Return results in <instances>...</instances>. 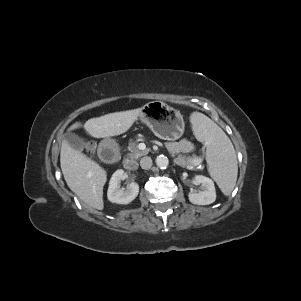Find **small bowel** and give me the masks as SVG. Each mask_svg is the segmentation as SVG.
Returning <instances> with one entry per match:
<instances>
[{
	"label": "small bowel",
	"mask_w": 301,
	"mask_h": 301,
	"mask_svg": "<svg viewBox=\"0 0 301 301\" xmlns=\"http://www.w3.org/2000/svg\"><path fill=\"white\" fill-rule=\"evenodd\" d=\"M168 148L173 154L189 153L194 149V145L191 141L184 138L180 141L169 143Z\"/></svg>",
	"instance_id": "obj_1"
}]
</instances>
